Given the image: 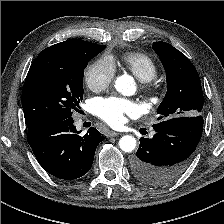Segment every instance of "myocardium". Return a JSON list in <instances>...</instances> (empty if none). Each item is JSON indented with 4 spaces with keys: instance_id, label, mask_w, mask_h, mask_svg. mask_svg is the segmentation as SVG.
Instances as JSON below:
<instances>
[{
    "instance_id": "myocardium-1",
    "label": "myocardium",
    "mask_w": 224,
    "mask_h": 224,
    "mask_svg": "<svg viewBox=\"0 0 224 224\" xmlns=\"http://www.w3.org/2000/svg\"><path fill=\"white\" fill-rule=\"evenodd\" d=\"M140 87L143 92H145L146 94H149V95L158 94L160 91L159 86L152 80L146 81V82H141Z\"/></svg>"
}]
</instances>
